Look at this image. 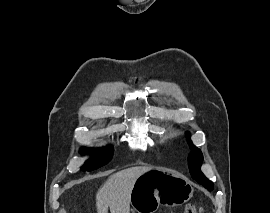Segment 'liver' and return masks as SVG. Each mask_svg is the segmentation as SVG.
Wrapping results in <instances>:
<instances>
[{
  "label": "liver",
  "instance_id": "liver-1",
  "mask_svg": "<svg viewBox=\"0 0 270 213\" xmlns=\"http://www.w3.org/2000/svg\"><path fill=\"white\" fill-rule=\"evenodd\" d=\"M152 167L137 166L111 175L96 193L97 213H129L131 190L136 179Z\"/></svg>",
  "mask_w": 270,
  "mask_h": 213
}]
</instances>
